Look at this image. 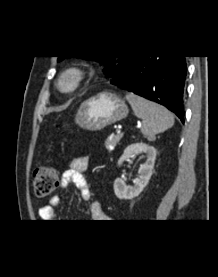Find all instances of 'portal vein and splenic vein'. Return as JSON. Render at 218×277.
Here are the masks:
<instances>
[{"label": "portal vein and splenic vein", "instance_id": "portal-vein-and-splenic-vein-1", "mask_svg": "<svg viewBox=\"0 0 218 277\" xmlns=\"http://www.w3.org/2000/svg\"><path fill=\"white\" fill-rule=\"evenodd\" d=\"M116 132H117V134H121V130L120 129L116 130Z\"/></svg>", "mask_w": 218, "mask_h": 277}]
</instances>
